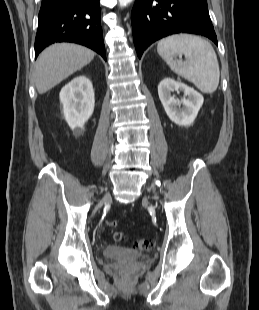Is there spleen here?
Returning <instances> with one entry per match:
<instances>
[{
  "mask_svg": "<svg viewBox=\"0 0 259 310\" xmlns=\"http://www.w3.org/2000/svg\"><path fill=\"white\" fill-rule=\"evenodd\" d=\"M157 52L177 75L192 82L203 93H213L219 85L220 70L217 55L205 39L176 34L159 41ZM185 56V61L176 60Z\"/></svg>",
  "mask_w": 259,
  "mask_h": 310,
  "instance_id": "1",
  "label": "spleen"
}]
</instances>
